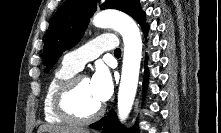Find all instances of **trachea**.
Here are the masks:
<instances>
[{
  "instance_id": "1",
  "label": "trachea",
  "mask_w": 221,
  "mask_h": 133,
  "mask_svg": "<svg viewBox=\"0 0 221 133\" xmlns=\"http://www.w3.org/2000/svg\"><path fill=\"white\" fill-rule=\"evenodd\" d=\"M114 55H121V49L120 48H118V49H116L115 51H114Z\"/></svg>"
}]
</instances>
